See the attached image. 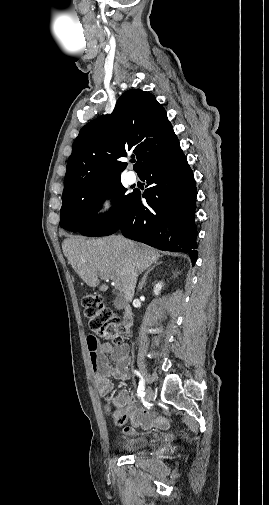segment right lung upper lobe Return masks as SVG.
Listing matches in <instances>:
<instances>
[{
    "instance_id": "right-lung-upper-lobe-1",
    "label": "right lung upper lobe",
    "mask_w": 269,
    "mask_h": 505,
    "mask_svg": "<svg viewBox=\"0 0 269 505\" xmlns=\"http://www.w3.org/2000/svg\"><path fill=\"white\" fill-rule=\"evenodd\" d=\"M178 142L165 109L155 96L140 89L126 91L111 115L86 124L75 139L67 163L63 202L79 192L120 180L126 163L118 161L135 154L134 170Z\"/></svg>"
}]
</instances>
